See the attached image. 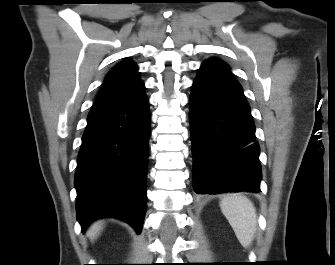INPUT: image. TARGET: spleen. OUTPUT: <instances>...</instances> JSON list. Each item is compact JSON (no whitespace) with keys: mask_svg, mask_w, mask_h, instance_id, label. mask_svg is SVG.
<instances>
[{"mask_svg":"<svg viewBox=\"0 0 335 265\" xmlns=\"http://www.w3.org/2000/svg\"><path fill=\"white\" fill-rule=\"evenodd\" d=\"M220 207L240 244L248 248L254 239L257 226L253 203L247 197L233 193L223 197Z\"/></svg>","mask_w":335,"mask_h":265,"instance_id":"obj_1","label":"spleen"}]
</instances>
